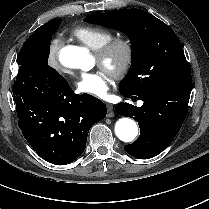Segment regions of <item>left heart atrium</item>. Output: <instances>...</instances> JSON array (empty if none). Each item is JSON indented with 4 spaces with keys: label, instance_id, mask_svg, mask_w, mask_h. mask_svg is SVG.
<instances>
[{
    "label": "left heart atrium",
    "instance_id": "left-heart-atrium-1",
    "mask_svg": "<svg viewBox=\"0 0 209 209\" xmlns=\"http://www.w3.org/2000/svg\"><path fill=\"white\" fill-rule=\"evenodd\" d=\"M110 79L98 71L81 73L75 82L78 92L96 98H104L109 89Z\"/></svg>",
    "mask_w": 209,
    "mask_h": 209
}]
</instances>
